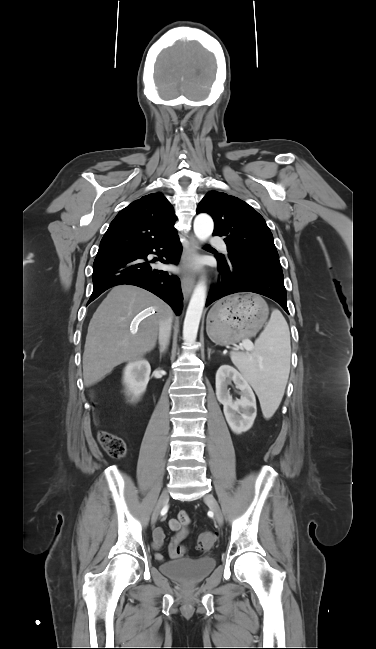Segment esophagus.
<instances>
[{"label": "esophagus", "mask_w": 376, "mask_h": 649, "mask_svg": "<svg viewBox=\"0 0 376 649\" xmlns=\"http://www.w3.org/2000/svg\"><path fill=\"white\" fill-rule=\"evenodd\" d=\"M189 247L186 249L182 258L183 274L181 278L182 291L186 298L191 294L195 285V276L191 269L193 258L197 255L199 244L197 239L191 235L189 237Z\"/></svg>", "instance_id": "esophagus-1"}]
</instances>
